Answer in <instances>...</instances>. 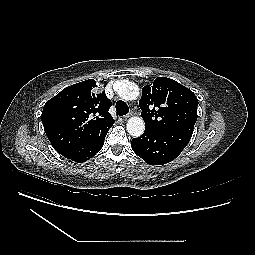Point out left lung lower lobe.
<instances>
[{"label": "left lung lower lobe", "mask_w": 255, "mask_h": 255, "mask_svg": "<svg viewBox=\"0 0 255 255\" xmlns=\"http://www.w3.org/2000/svg\"><path fill=\"white\" fill-rule=\"evenodd\" d=\"M192 134L164 129L145 128L142 136L132 139L133 151L150 165L173 161L187 146Z\"/></svg>", "instance_id": "obj_1"}]
</instances>
